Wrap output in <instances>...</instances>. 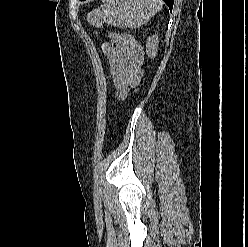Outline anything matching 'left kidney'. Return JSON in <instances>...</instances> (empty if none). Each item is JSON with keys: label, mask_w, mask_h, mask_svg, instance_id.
Instances as JSON below:
<instances>
[{"label": "left kidney", "mask_w": 248, "mask_h": 247, "mask_svg": "<svg viewBox=\"0 0 248 247\" xmlns=\"http://www.w3.org/2000/svg\"><path fill=\"white\" fill-rule=\"evenodd\" d=\"M159 38L158 35H152L146 41V54L150 58H154L158 51Z\"/></svg>", "instance_id": "obj_1"}]
</instances>
